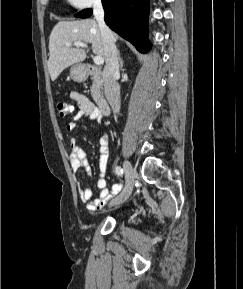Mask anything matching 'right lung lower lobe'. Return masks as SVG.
Masks as SVG:
<instances>
[{
	"label": "right lung lower lobe",
	"instance_id": "obj_1",
	"mask_svg": "<svg viewBox=\"0 0 243 289\" xmlns=\"http://www.w3.org/2000/svg\"><path fill=\"white\" fill-rule=\"evenodd\" d=\"M105 22L138 51L146 53L151 47L148 41L149 0H102ZM91 10H82L75 17L88 18Z\"/></svg>",
	"mask_w": 243,
	"mask_h": 289
}]
</instances>
